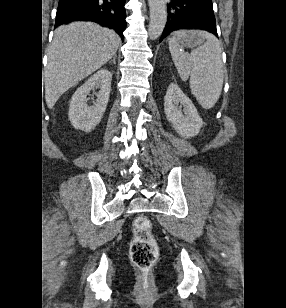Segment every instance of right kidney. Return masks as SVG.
I'll return each instance as SVG.
<instances>
[{
	"label": "right kidney",
	"instance_id": "right-kidney-1",
	"mask_svg": "<svg viewBox=\"0 0 286 308\" xmlns=\"http://www.w3.org/2000/svg\"><path fill=\"white\" fill-rule=\"evenodd\" d=\"M112 73L102 69L91 76L73 94L69 106V120L74 128L84 132H91L101 121L106 110L110 91ZM94 87L99 89L97 99L93 105L87 104V96Z\"/></svg>",
	"mask_w": 286,
	"mask_h": 308
}]
</instances>
